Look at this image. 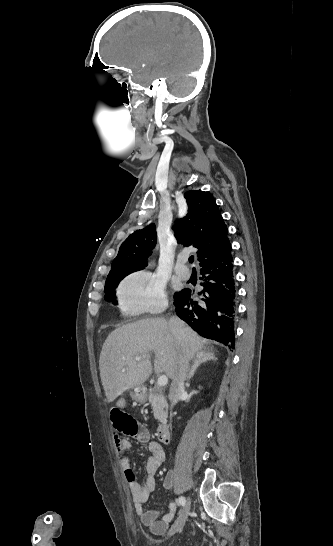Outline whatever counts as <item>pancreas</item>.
Wrapping results in <instances>:
<instances>
[{
	"instance_id": "1",
	"label": "pancreas",
	"mask_w": 333,
	"mask_h": 546,
	"mask_svg": "<svg viewBox=\"0 0 333 546\" xmlns=\"http://www.w3.org/2000/svg\"><path fill=\"white\" fill-rule=\"evenodd\" d=\"M148 399L149 403L153 407L155 419H163V417L167 414L168 404L162 389L158 385H155L153 388L149 389Z\"/></svg>"
}]
</instances>
